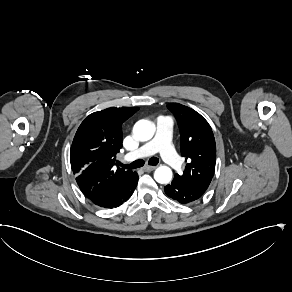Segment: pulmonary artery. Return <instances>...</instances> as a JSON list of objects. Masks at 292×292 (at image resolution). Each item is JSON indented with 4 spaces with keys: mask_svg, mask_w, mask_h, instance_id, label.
<instances>
[{
    "mask_svg": "<svg viewBox=\"0 0 292 292\" xmlns=\"http://www.w3.org/2000/svg\"><path fill=\"white\" fill-rule=\"evenodd\" d=\"M173 120L168 115H161L159 117V135L151 142L131 151L130 156L134 160L143 157H149L157 149L161 148V157L169 166L175 169L182 167V162L179 156L175 153V145L173 144Z\"/></svg>",
    "mask_w": 292,
    "mask_h": 292,
    "instance_id": "e3ab8cb5",
    "label": "pulmonary artery"
}]
</instances>
